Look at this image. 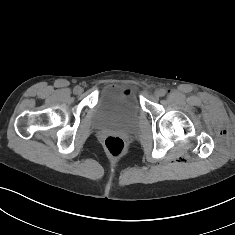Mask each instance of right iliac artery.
I'll use <instances>...</instances> for the list:
<instances>
[{"label":"right iliac artery","instance_id":"obj_1","mask_svg":"<svg viewBox=\"0 0 235 235\" xmlns=\"http://www.w3.org/2000/svg\"><path fill=\"white\" fill-rule=\"evenodd\" d=\"M77 88H78V86H76L75 88H74V92L76 93V91H77Z\"/></svg>","mask_w":235,"mask_h":235}]
</instances>
